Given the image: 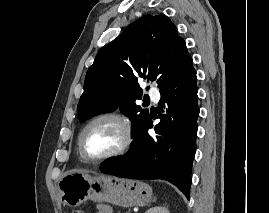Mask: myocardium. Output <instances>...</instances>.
<instances>
[{"label":"myocardium","instance_id":"obj_1","mask_svg":"<svg viewBox=\"0 0 270 213\" xmlns=\"http://www.w3.org/2000/svg\"><path fill=\"white\" fill-rule=\"evenodd\" d=\"M102 120H112L117 122L122 128H123V132H124V138H123V142L122 144L114 151L101 156V157H91L89 156L85 149H84V136L85 133L87 132V130L96 122L98 121H102ZM132 142V130H131V126L129 121L122 115L118 114V113H101L98 114L96 116H94L93 118H91L82 128L79 137H78V149H79V153L82 156L83 159H85L88 162L91 163H101L103 161H107L113 158H117L119 156H121L122 154H124L130 144Z\"/></svg>","mask_w":270,"mask_h":213}]
</instances>
